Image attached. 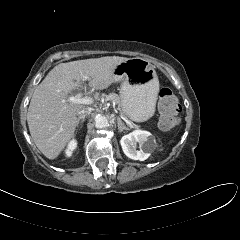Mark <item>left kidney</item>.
<instances>
[{"instance_id":"obj_1","label":"left kidney","mask_w":240,"mask_h":240,"mask_svg":"<svg viewBox=\"0 0 240 240\" xmlns=\"http://www.w3.org/2000/svg\"><path fill=\"white\" fill-rule=\"evenodd\" d=\"M120 144L124 154L133 160H146L156 147L155 139L148 131L135 130L124 135ZM137 144L139 149H137Z\"/></svg>"}]
</instances>
